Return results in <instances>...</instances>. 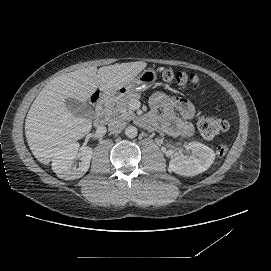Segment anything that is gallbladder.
Masks as SVG:
<instances>
[{"mask_svg": "<svg viewBox=\"0 0 271 271\" xmlns=\"http://www.w3.org/2000/svg\"><path fill=\"white\" fill-rule=\"evenodd\" d=\"M65 108L75 116L93 118L94 112L89 104L79 101L77 98H67L64 101Z\"/></svg>", "mask_w": 271, "mask_h": 271, "instance_id": "bac80fb5", "label": "gallbladder"}]
</instances>
